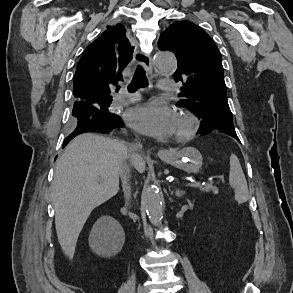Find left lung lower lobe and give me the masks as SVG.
<instances>
[{
	"mask_svg": "<svg viewBox=\"0 0 293 293\" xmlns=\"http://www.w3.org/2000/svg\"><path fill=\"white\" fill-rule=\"evenodd\" d=\"M212 131H217V130H212ZM208 132H210V131H207V130L204 129V128L201 130V133H208ZM221 132H224V133H226V134H228V135H230V136L236 138V139L240 142V140H239V138H238V136H237L235 130H232V129H225V130H223V131H221Z\"/></svg>",
	"mask_w": 293,
	"mask_h": 293,
	"instance_id": "0a47b994",
	"label": "left lung lower lobe"
}]
</instances>
